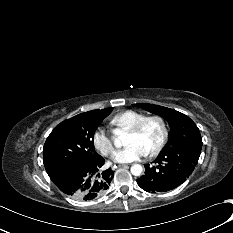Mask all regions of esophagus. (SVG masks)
Instances as JSON below:
<instances>
[{"label": "esophagus", "mask_w": 233, "mask_h": 233, "mask_svg": "<svg viewBox=\"0 0 233 233\" xmlns=\"http://www.w3.org/2000/svg\"><path fill=\"white\" fill-rule=\"evenodd\" d=\"M118 166H119V167H124V166H125V164H118Z\"/></svg>", "instance_id": "1"}]
</instances>
